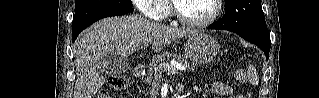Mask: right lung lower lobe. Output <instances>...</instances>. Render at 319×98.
Masks as SVG:
<instances>
[{"instance_id":"98d812e1","label":"right lung lower lobe","mask_w":319,"mask_h":98,"mask_svg":"<svg viewBox=\"0 0 319 98\" xmlns=\"http://www.w3.org/2000/svg\"><path fill=\"white\" fill-rule=\"evenodd\" d=\"M133 10L127 8H102L76 13L72 22V42L75 41L82 30L97 20L105 17L124 15Z\"/></svg>"}]
</instances>
